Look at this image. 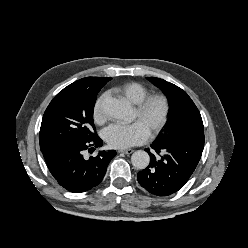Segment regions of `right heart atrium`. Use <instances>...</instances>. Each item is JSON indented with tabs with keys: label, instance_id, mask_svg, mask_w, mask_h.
Instances as JSON below:
<instances>
[{
	"label": "right heart atrium",
	"instance_id": "right-heart-atrium-1",
	"mask_svg": "<svg viewBox=\"0 0 248 248\" xmlns=\"http://www.w3.org/2000/svg\"><path fill=\"white\" fill-rule=\"evenodd\" d=\"M106 98V94L101 95L95 102L93 107V119L96 123L102 124L106 120V114L104 111V100Z\"/></svg>",
	"mask_w": 248,
	"mask_h": 248
}]
</instances>
